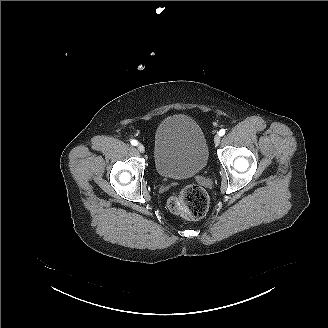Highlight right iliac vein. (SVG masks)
I'll use <instances>...</instances> for the list:
<instances>
[{
	"label": "right iliac vein",
	"mask_w": 328,
	"mask_h": 328,
	"mask_svg": "<svg viewBox=\"0 0 328 328\" xmlns=\"http://www.w3.org/2000/svg\"><path fill=\"white\" fill-rule=\"evenodd\" d=\"M137 149L141 152L144 153L145 152V147L143 144H138Z\"/></svg>",
	"instance_id": "obj_1"
}]
</instances>
